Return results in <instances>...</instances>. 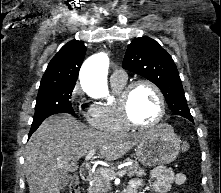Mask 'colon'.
<instances>
[{"mask_svg":"<svg viewBox=\"0 0 221 193\" xmlns=\"http://www.w3.org/2000/svg\"><path fill=\"white\" fill-rule=\"evenodd\" d=\"M182 148L184 151H187L190 145L188 143H183ZM69 193H79V180L76 177H73L71 181Z\"/></svg>","mask_w":221,"mask_h":193,"instance_id":"5ec220e1","label":"colon"}]
</instances>
